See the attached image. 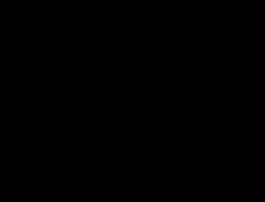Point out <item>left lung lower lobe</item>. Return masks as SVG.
Wrapping results in <instances>:
<instances>
[{
	"mask_svg": "<svg viewBox=\"0 0 265 202\" xmlns=\"http://www.w3.org/2000/svg\"><path fill=\"white\" fill-rule=\"evenodd\" d=\"M152 94L168 109L165 117L156 119V130L166 145L174 151L196 153L200 144L208 143L214 138L215 125L205 130H199L192 125L200 105L185 102L180 107L179 101L183 97L178 86L160 84L154 87Z\"/></svg>",
	"mask_w": 265,
	"mask_h": 202,
	"instance_id": "0a47b994",
	"label": "left lung lower lobe"
}]
</instances>
